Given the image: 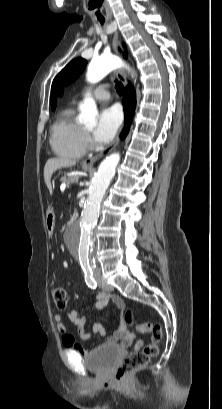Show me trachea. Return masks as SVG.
<instances>
[{
  "instance_id": "3493384b",
  "label": "trachea",
  "mask_w": 222,
  "mask_h": 409,
  "mask_svg": "<svg viewBox=\"0 0 222 409\" xmlns=\"http://www.w3.org/2000/svg\"><path fill=\"white\" fill-rule=\"evenodd\" d=\"M99 21H100L101 25L104 24V20H99ZM116 90L120 95H122L123 92H124V87H123L122 83L119 82V81H116Z\"/></svg>"
}]
</instances>
